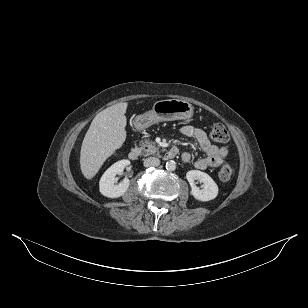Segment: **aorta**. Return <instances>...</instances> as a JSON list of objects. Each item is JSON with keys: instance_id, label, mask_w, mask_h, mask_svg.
<instances>
[{"instance_id": "aorta-1", "label": "aorta", "mask_w": 308, "mask_h": 308, "mask_svg": "<svg viewBox=\"0 0 308 308\" xmlns=\"http://www.w3.org/2000/svg\"><path fill=\"white\" fill-rule=\"evenodd\" d=\"M166 169H167L168 171H174V170L176 169V163H175V161H168V162L166 163Z\"/></svg>"}]
</instances>
